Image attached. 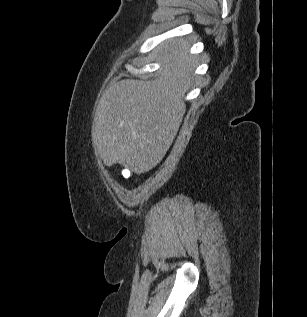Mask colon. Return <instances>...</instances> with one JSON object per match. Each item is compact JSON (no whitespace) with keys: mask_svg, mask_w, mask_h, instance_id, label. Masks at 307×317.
<instances>
[{"mask_svg":"<svg viewBox=\"0 0 307 317\" xmlns=\"http://www.w3.org/2000/svg\"><path fill=\"white\" fill-rule=\"evenodd\" d=\"M123 174H124L125 176H129V175H130V171L126 169V170L123 171Z\"/></svg>","mask_w":307,"mask_h":317,"instance_id":"colon-1","label":"colon"}]
</instances>
